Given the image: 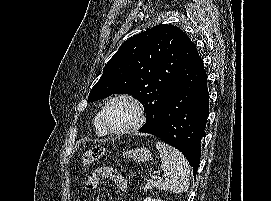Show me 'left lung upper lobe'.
Masks as SVG:
<instances>
[{"instance_id":"1","label":"left lung upper lobe","mask_w":271,"mask_h":201,"mask_svg":"<svg viewBox=\"0 0 271 201\" xmlns=\"http://www.w3.org/2000/svg\"><path fill=\"white\" fill-rule=\"evenodd\" d=\"M184 37L180 28L161 24L126 40L105 65L88 102L112 94H131L144 107L146 124L143 127L156 128L177 77Z\"/></svg>"}]
</instances>
